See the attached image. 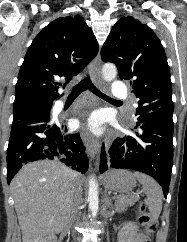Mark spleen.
I'll return each mask as SVG.
<instances>
[{
  "mask_svg": "<svg viewBox=\"0 0 187 242\" xmlns=\"http://www.w3.org/2000/svg\"><path fill=\"white\" fill-rule=\"evenodd\" d=\"M133 175L142 184L143 191L147 196L145 203L147 204L153 219L157 220L161 213L163 203V194L159 185L154 179L143 173L135 172Z\"/></svg>",
  "mask_w": 187,
  "mask_h": 242,
  "instance_id": "3e777b00",
  "label": "spleen"
}]
</instances>
